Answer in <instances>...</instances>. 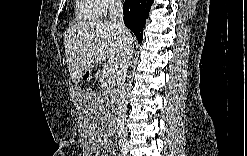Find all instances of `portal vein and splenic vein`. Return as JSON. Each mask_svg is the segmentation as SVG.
<instances>
[{"instance_id":"portal-vein-and-splenic-vein-1","label":"portal vein and splenic vein","mask_w":247,"mask_h":156,"mask_svg":"<svg viewBox=\"0 0 247 156\" xmlns=\"http://www.w3.org/2000/svg\"><path fill=\"white\" fill-rule=\"evenodd\" d=\"M117 68L118 67H117L116 64L111 63V64H109V65L106 66L105 71L107 73L114 74L117 71Z\"/></svg>"}]
</instances>
